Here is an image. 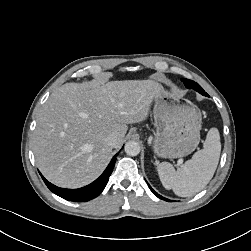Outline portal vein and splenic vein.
I'll use <instances>...</instances> for the list:
<instances>
[{
  "label": "portal vein and splenic vein",
  "instance_id": "18ae733b",
  "mask_svg": "<svg viewBox=\"0 0 251 251\" xmlns=\"http://www.w3.org/2000/svg\"><path fill=\"white\" fill-rule=\"evenodd\" d=\"M182 164V162H179L178 165Z\"/></svg>",
  "mask_w": 251,
  "mask_h": 251
}]
</instances>
